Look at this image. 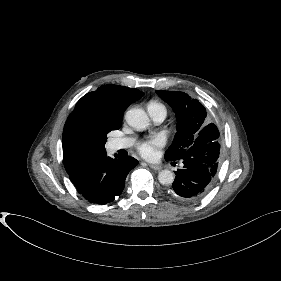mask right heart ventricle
I'll return each instance as SVG.
<instances>
[{"mask_svg":"<svg viewBox=\"0 0 281 281\" xmlns=\"http://www.w3.org/2000/svg\"><path fill=\"white\" fill-rule=\"evenodd\" d=\"M148 108L161 109V110H164V111L166 112L165 106H164L162 103L157 102V101H151V102L148 104Z\"/></svg>","mask_w":281,"mask_h":281,"instance_id":"obj_1","label":"right heart ventricle"}]
</instances>
